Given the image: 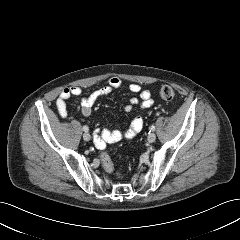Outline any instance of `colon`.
Returning <instances> with one entry per match:
<instances>
[{
	"mask_svg": "<svg viewBox=\"0 0 240 240\" xmlns=\"http://www.w3.org/2000/svg\"><path fill=\"white\" fill-rule=\"evenodd\" d=\"M160 96L162 99H164L166 101H170L174 98V90L172 89V87H170L168 85H164L160 89ZM100 161L102 163L103 168L107 172H109V173L115 172L117 175H120V173L115 170L112 159L108 153L102 152L100 154Z\"/></svg>",
	"mask_w": 240,
	"mask_h": 240,
	"instance_id": "colon-1",
	"label": "colon"
}]
</instances>
